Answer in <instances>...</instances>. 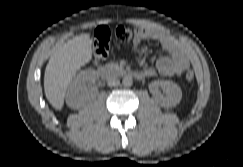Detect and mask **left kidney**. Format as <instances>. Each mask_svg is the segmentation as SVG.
I'll return each instance as SVG.
<instances>
[{
    "label": "left kidney",
    "instance_id": "left-kidney-1",
    "mask_svg": "<svg viewBox=\"0 0 243 167\" xmlns=\"http://www.w3.org/2000/svg\"><path fill=\"white\" fill-rule=\"evenodd\" d=\"M160 89L164 91L165 96L161 94ZM149 91L155 102L164 108L175 107L182 99L181 88L172 81H153L149 84Z\"/></svg>",
    "mask_w": 243,
    "mask_h": 167
}]
</instances>
